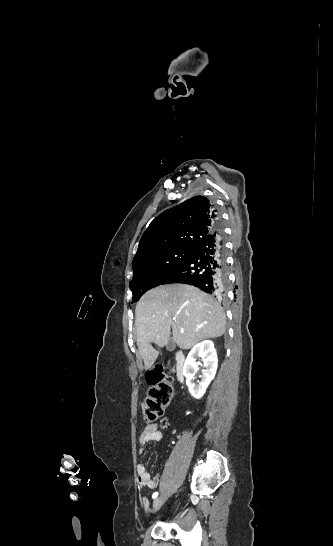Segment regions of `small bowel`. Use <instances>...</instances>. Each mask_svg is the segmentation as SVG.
<instances>
[{"label": "small bowel", "mask_w": 333, "mask_h": 546, "mask_svg": "<svg viewBox=\"0 0 333 546\" xmlns=\"http://www.w3.org/2000/svg\"><path fill=\"white\" fill-rule=\"evenodd\" d=\"M163 437V433L155 427L146 428L139 437L140 452L142 453L144 447L150 442H159ZM138 482L141 487H147L149 489H155L159 483V477H152L147 471L144 464L137 466ZM144 504L145 512L149 511L148 499L146 497L142 500Z\"/></svg>", "instance_id": "obj_1"}]
</instances>
